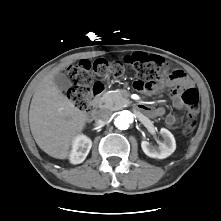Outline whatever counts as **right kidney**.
Returning a JSON list of instances; mask_svg holds the SVG:
<instances>
[{
  "label": "right kidney",
  "mask_w": 221,
  "mask_h": 221,
  "mask_svg": "<svg viewBox=\"0 0 221 221\" xmlns=\"http://www.w3.org/2000/svg\"><path fill=\"white\" fill-rule=\"evenodd\" d=\"M92 147V141L85 135L77 136L72 145V151L70 153V162L72 164H80L87 157Z\"/></svg>",
  "instance_id": "obj_1"
}]
</instances>
